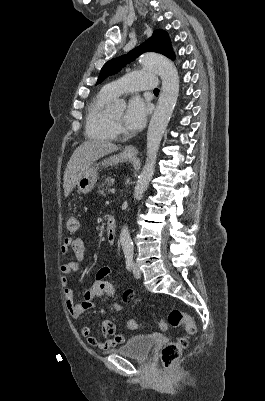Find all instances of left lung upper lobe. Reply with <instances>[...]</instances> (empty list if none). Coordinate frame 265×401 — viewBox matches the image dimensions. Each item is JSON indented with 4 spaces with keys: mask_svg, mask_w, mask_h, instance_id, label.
<instances>
[{
    "mask_svg": "<svg viewBox=\"0 0 265 401\" xmlns=\"http://www.w3.org/2000/svg\"><path fill=\"white\" fill-rule=\"evenodd\" d=\"M145 52H157L172 60L175 59L168 34L164 30L157 29L146 42L130 51L127 55L108 61L101 69L97 84L101 83L109 75L120 71L121 67L127 62L134 60Z\"/></svg>",
    "mask_w": 265,
    "mask_h": 401,
    "instance_id": "1",
    "label": "left lung upper lobe"
}]
</instances>
